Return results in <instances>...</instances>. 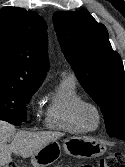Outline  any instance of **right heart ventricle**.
I'll use <instances>...</instances> for the list:
<instances>
[{
  "label": "right heart ventricle",
  "mask_w": 125,
  "mask_h": 167,
  "mask_svg": "<svg viewBox=\"0 0 125 167\" xmlns=\"http://www.w3.org/2000/svg\"><path fill=\"white\" fill-rule=\"evenodd\" d=\"M82 101L75 80L72 77L62 78L47 104L45 127L68 133L83 132L84 129L75 116V109Z\"/></svg>",
  "instance_id": "right-heart-ventricle-1"
}]
</instances>
